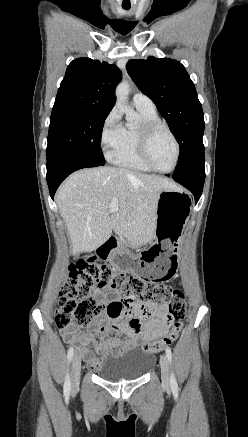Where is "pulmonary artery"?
I'll use <instances>...</instances> for the list:
<instances>
[{"label": "pulmonary artery", "mask_w": 248, "mask_h": 437, "mask_svg": "<svg viewBox=\"0 0 248 437\" xmlns=\"http://www.w3.org/2000/svg\"><path fill=\"white\" fill-rule=\"evenodd\" d=\"M132 100H133V104L138 109H144L149 111L156 110L154 102L148 96L142 93L134 94Z\"/></svg>", "instance_id": "e3ab8cb5"}]
</instances>
